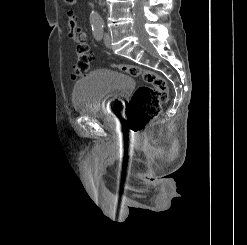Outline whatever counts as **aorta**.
<instances>
[{
  "mask_svg": "<svg viewBox=\"0 0 247 245\" xmlns=\"http://www.w3.org/2000/svg\"><path fill=\"white\" fill-rule=\"evenodd\" d=\"M90 23L92 25H102L103 24V19L102 17L99 15L98 12L96 11H92L90 13Z\"/></svg>",
  "mask_w": 247,
  "mask_h": 245,
  "instance_id": "obj_1",
  "label": "aorta"
}]
</instances>
